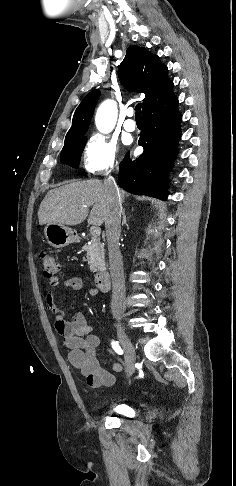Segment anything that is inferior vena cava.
<instances>
[{
	"instance_id": "obj_1",
	"label": "inferior vena cava",
	"mask_w": 236,
	"mask_h": 486,
	"mask_svg": "<svg viewBox=\"0 0 236 486\" xmlns=\"http://www.w3.org/2000/svg\"><path fill=\"white\" fill-rule=\"evenodd\" d=\"M107 189L109 207L105 219V230L108 244L110 274L112 279L111 309L114 315H120L125 309V280L122 255L119 249L121 233L122 200L115 179L112 176L104 179Z\"/></svg>"
}]
</instances>
